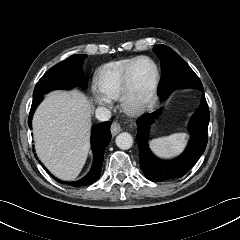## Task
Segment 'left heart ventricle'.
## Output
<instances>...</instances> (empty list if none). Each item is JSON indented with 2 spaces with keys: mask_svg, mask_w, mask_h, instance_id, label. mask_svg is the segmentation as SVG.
<instances>
[{
  "mask_svg": "<svg viewBox=\"0 0 240 240\" xmlns=\"http://www.w3.org/2000/svg\"><path fill=\"white\" fill-rule=\"evenodd\" d=\"M154 76L155 69L151 62L143 60L137 64L131 78V86L136 98L143 96L149 91L153 84Z\"/></svg>",
  "mask_w": 240,
  "mask_h": 240,
  "instance_id": "left-heart-ventricle-1",
  "label": "left heart ventricle"
}]
</instances>
